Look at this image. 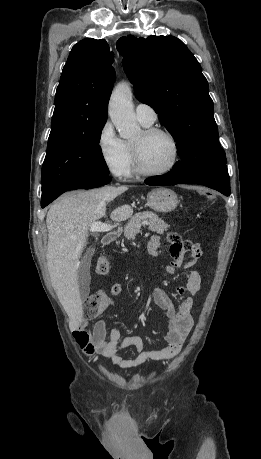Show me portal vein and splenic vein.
Returning a JSON list of instances; mask_svg holds the SVG:
<instances>
[{"label":"portal vein and splenic vein","instance_id":"18ae733b","mask_svg":"<svg viewBox=\"0 0 261 459\" xmlns=\"http://www.w3.org/2000/svg\"><path fill=\"white\" fill-rule=\"evenodd\" d=\"M144 224H147V222H144ZM112 228L113 226L111 224L96 221L90 226L89 230L91 232H108L112 230Z\"/></svg>","mask_w":261,"mask_h":459}]
</instances>
